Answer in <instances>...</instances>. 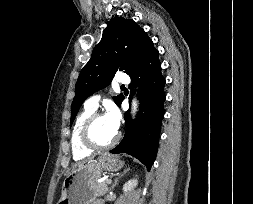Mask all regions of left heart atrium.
<instances>
[{
  "label": "left heart atrium",
  "mask_w": 253,
  "mask_h": 204,
  "mask_svg": "<svg viewBox=\"0 0 253 204\" xmlns=\"http://www.w3.org/2000/svg\"><path fill=\"white\" fill-rule=\"evenodd\" d=\"M104 116L111 125V127L115 131H117L121 121V115L119 110L115 106H109Z\"/></svg>",
  "instance_id": "left-heart-atrium-1"
}]
</instances>
